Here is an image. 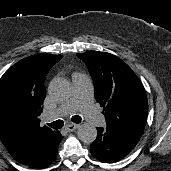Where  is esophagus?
Here are the masks:
<instances>
[{"label": "esophagus", "instance_id": "34e87169", "mask_svg": "<svg viewBox=\"0 0 171 171\" xmlns=\"http://www.w3.org/2000/svg\"><path fill=\"white\" fill-rule=\"evenodd\" d=\"M77 128H79L78 124L71 123L65 127V130H67L68 132H71V131L76 130Z\"/></svg>", "mask_w": 171, "mask_h": 171}]
</instances>
